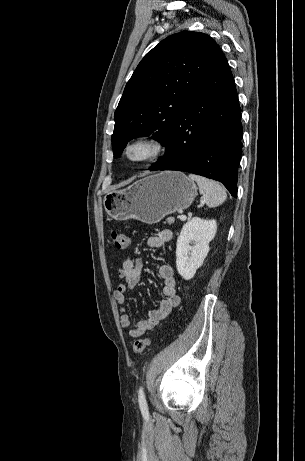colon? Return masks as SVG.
<instances>
[{
    "label": "colon",
    "instance_id": "obj_1",
    "mask_svg": "<svg viewBox=\"0 0 305 461\" xmlns=\"http://www.w3.org/2000/svg\"><path fill=\"white\" fill-rule=\"evenodd\" d=\"M112 239L117 249L125 250L130 244V237L120 231H113L111 233ZM151 340L149 338L138 339L133 343V351L136 354L142 353L145 348L150 344Z\"/></svg>",
    "mask_w": 305,
    "mask_h": 461
}]
</instances>
